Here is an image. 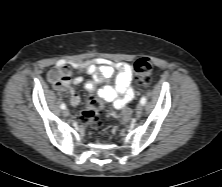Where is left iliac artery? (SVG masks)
<instances>
[{"label":"left iliac artery","mask_w":222,"mask_h":187,"mask_svg":"<svg viewBox=\"0 0 222 187\" xmlns=\"http://www.w3.org/2000/svg\"><path fill=\"white\" fill-rule=\"evenodd\" d=\"M140 103L142 104V105H144L145 103H146V97H142L141 98V100H140Z\"/></svg>","instance_id":"obj_1"}]
</instances>
